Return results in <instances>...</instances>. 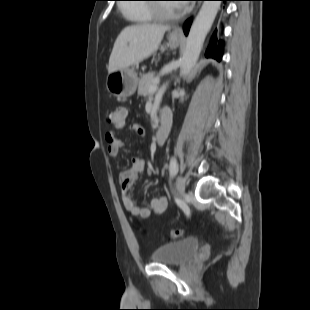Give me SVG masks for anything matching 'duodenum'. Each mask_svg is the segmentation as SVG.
Returning <instances> with one entry per match:
<instances>
[{
	"instance_id": "410a0bca",
	"label": "duodenum",
	"mask_w": 310,
	"mask_h": 310,
	"mask_svg": "<svg viewBox=\"0 0 310 310\" xmlns=\"http://www.w3.org/2000/svg\"><path fill=\"white\" fill-rule=\"evenodd\" d=\"M171 117L167 109L160 112V126L156 132V141L159 145L163 144L168 138L171 131Z\"/></svg>"
}]
</instances>
